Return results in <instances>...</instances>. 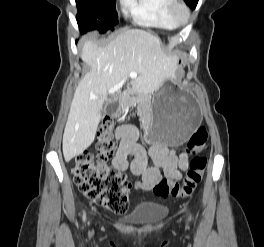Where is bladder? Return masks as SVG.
<instances>
[{
    "instance_id": "31cf9c89",
    "label": "bladder",
    "mask_w": 264,
    "mask_h": 247,
    "mask_svg": "<svg viewBox=\"0 0 264 247\" xmlns=\"http://www.w3.org/2000/svg\"><path fill=\"white\" fill-rule=\"evenodd\" d=\"M166 214V206L156 202H142L134 207L126 219L139 224H149L160 221Z\"/></svg>"
}]
</instances>
